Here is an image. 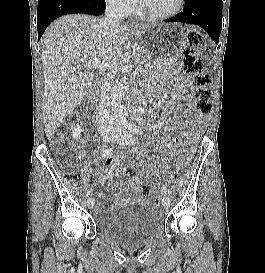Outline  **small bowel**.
<instances>
[{"label": "small bowel", "mask_w": 265, "mask_h": 273, "mask_svg": "<svg viewBox=\"0 0 265 273\" xmlns=\"http://www.w3.org/2000/svg\"><path fill=\"white\" fill-rule=\"evenodd\" d=\"M153 115L154 114H152L151 116H153ZM175 124H176V121H173L171 126L174 127ZM76 154H77V157H82L85 155L84 151H82V150H78L76 152ZM104 165L107 168V170H106V174L104 175L102 181H104L105 178L108 175H110L117 168L118 160L112 156L107 157L104 161ZM97 171L99 172V171H101V169L98 168ZM142 180L143 179L139 176H133L128 180L129 185H131L133 188L134 195H133V197L120 198L119 202L121 204H126V203H129L130 201L141 200L143 198V195L141 194V191H140V185L142 183ZM97 209H99V208H97Z\"/></svg>", "instance_id": "c3829d8e"}]
</instances>
